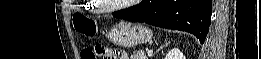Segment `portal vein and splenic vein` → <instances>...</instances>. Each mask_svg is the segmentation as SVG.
<instances>
[{"instance_id": "obj_1", "label": "portal vein and splenic vein", "mask_w": 261, "mask_h": 59, "mask_svg": "<svg viewBox=\"0 0 261 59\" xmlns=\"http://www.w3.org/2000/svg\"><path fill=\"white\" fill-rule=\"evenodd\" d=\"M147 53H148L149 56H151L152 55V50H148Z\"/></svg>"}]
</instances>
